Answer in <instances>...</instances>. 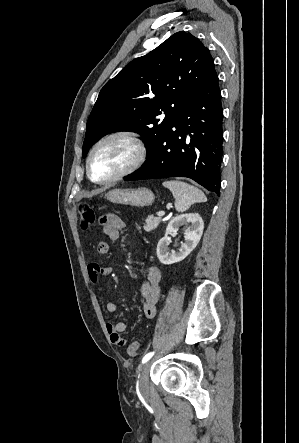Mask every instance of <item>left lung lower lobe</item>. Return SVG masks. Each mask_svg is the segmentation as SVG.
Wrapping results in <instances>:
<instances>
[{
    "label": "left lung lower lobe",
    "mask_w": 299,
    "mask_h": 443,
    "mask_svg": "<svg viewBox=\"0 0 299 443\" xmlns=\"http://www.w3.org/2000/svg\"><path fill=\"white\" fill-rule=\"evenodd\" d=\"M223 110L216 71L185 103L140 169L125 181L188 177L220 195Z\"/></svg>",
    "instance_id": "1"
}]
</instances>
